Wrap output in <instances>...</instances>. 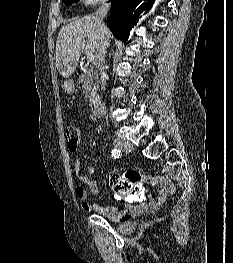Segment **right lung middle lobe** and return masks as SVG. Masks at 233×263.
<instances>
[{
    "instance_id": "dd1d6c3e",
    "label": "right lung middle lobe",
    "mask_w": 233,
    "mask_h": 263,
    "mask_svg": "<svg viewBox=\"0 0 233 263\" xmlns=\"http://www.w3.org/2000/svg\"><path fill=\"white\" fill-rule=\"evenodd\" d=\"M78 0H63V2L67 5H71L73 2H77Z\"/></svg>"
}]
</instances>
